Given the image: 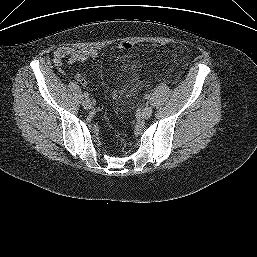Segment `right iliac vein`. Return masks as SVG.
Returning <instances> with one entry per match:
<instances>
[{
  "mask_svg": "<svg viewBox=\"0 0 257 257\" xmlns=\"http://www.w3.org/2000/svg\"><path fill=\"white\" fill-rule=\"evenodd\" d=\"M82 105H83V107H84L85 109H87V110H90V109L93 108V104H92V102H91L89 99L83 101Z\"/></svg>",
  "mask_w": 257,
  "mask_h": 257,
  "instance_id": "63e3f726",
  "label": "right iliac vein"
}]
</instances>
